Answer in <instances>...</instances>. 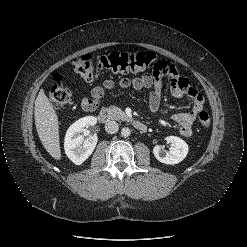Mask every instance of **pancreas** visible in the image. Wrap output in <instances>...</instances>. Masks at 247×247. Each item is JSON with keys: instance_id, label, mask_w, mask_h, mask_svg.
Masks as SVG:
<instances>
[{"instance_id": "1", "label": "pancreas", "mask_w": 247, "mask_h": 247, "mask_svg": "<svg viewBox=\"0 0 247 247\" xmlns=\"http://www.w3.org/2000/svg\"><path fill=\"white\" fill-rule=\"evenodd\" d=\"M108 114H109V117L111 119H114V120H128V117L127 115L125 114V112H123L120 108L116 107V106H110L108 109Z\"/></svg>"}]
</instances>
